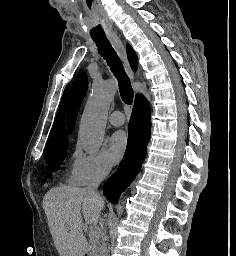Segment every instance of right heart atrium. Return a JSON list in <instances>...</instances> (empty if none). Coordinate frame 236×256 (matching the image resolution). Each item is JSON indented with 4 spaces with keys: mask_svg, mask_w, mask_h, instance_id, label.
I'll return each mask as SVG.
<instances>
[{
    "mask_svg": "<svg viewBox=\"0 0 236 256\" xmlns=\"http://www.w3.org/2000/svg\"><path fill=\"white\" fill-rule=\"evenodd\" d=\"M112 167L104 151L86 153L76 145L72 153L67 180L74 186L97 184L110 175Z\"/></svg>",
    "mask_w": 236,
    "mask_h": 256,
    "instance_id": "obj_1",
    "label": "right heart atrium"
}]
</instances>
